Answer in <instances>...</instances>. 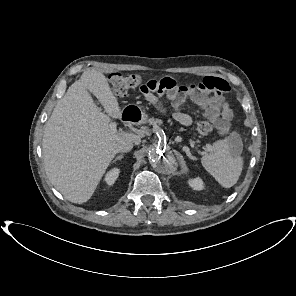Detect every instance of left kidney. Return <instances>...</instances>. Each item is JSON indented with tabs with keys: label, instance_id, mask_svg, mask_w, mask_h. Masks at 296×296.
Here are the masks:
<instances>
[{
	"label": "left kidney",
	"instance_id": "5707ae66",
	"mask_svg": "<svg viewBox=\"0 0 296 296\" xmlns=\"http://www.w3.org/2000/svg\"><path fill=\"white\" fill-rule=\"evenodd\" d=\"M189 185L194 190H202L204 188L203 181L200 178H194L189 181Z\"/></svg>",
	"mask_w": 296,
	"mask_h": 296
}]
</instances>
